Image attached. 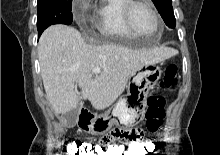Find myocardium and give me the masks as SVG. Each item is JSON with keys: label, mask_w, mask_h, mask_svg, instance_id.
<instances>
[{"label": "myocardium", "mask_w": 220, "mask_h": 155, "mask_svg": "<svg viewBox=\"0 0 220 155\" xmlns=\"http://www.w3.org/2000/svg\"><path fill=\"white\" fill-rule=\"evenodd\" d=\"M138 5H143V6L147 7L150 10V12L152 13V15L154 16V18L156 20V24H157V29H156L155 33L147 35V34H143V33L139 32L135 28V26L133 24V20H132V11H133L134 7H136ZM123 17H124V21H125L127 28L136 36L156 35V34L160 33L162 30L161 17L158 14L155 7L153 6V4L150 2V0H127V2L124 5V8H123Z\"/></svg>", "instance_id": "f54148a6"}]
</instances>
